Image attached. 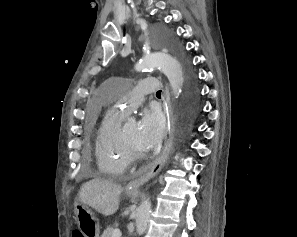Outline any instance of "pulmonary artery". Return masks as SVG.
<instances>
[{
    "instance_id": "pulmonary-artery-1",
    "label": "pulmonary artery",
    "mask_w": 297,
    "mask_h": 237,
    "mask_svg": "<svg viewBox=\"0 0 297 237\" xmlns=\"http://www.w3.org/2000/svg\"><path fill=\"white\" fill-rule=\"evenodd\" d=\"M159 85L154 77H145L136 85L120 87L121 98L118 101L117 110L121 114H127L132 108L137 107L143 98L158 90Z\"/></svg>"
}]
</instances>
